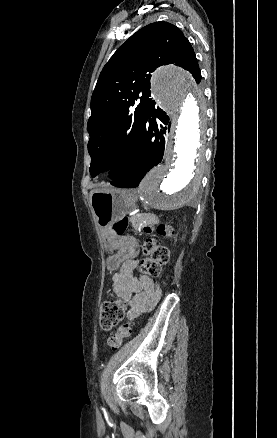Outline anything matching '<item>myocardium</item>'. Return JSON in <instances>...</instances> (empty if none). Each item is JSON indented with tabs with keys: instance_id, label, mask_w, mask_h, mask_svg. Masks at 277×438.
Returning a JSON list of instances; mask_svg holds the SVG:
<instances>
[{
	"instance_id": "1",
	"label": "myocardium",
	"mask_w": 277,
	"mask_h": 438,
	"mask_svg": "<svg viewBox=\"0 0 277 438\" xmlns=\"http://www.w3.org/2000/svg\"><path fill=\"white\" fill-rule=\"evenodd\" d=\"M120 151H121V149H120V148H117V149L115 150V154H119Z\"/></svg>"
}]
</instances>
